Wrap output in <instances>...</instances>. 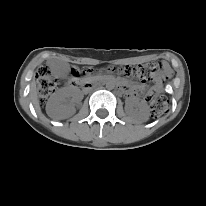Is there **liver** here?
<instances>
[{"mask_svg": "<svg viewBox=\"0 0 206 206\" xmlns=\"http://www.w3.org/2000/svg\"><path fill=\"white\" fill-rule=\"evenodd\" d=\"M30 99L33 103V106L35 108V110L37 112H40L41 109H40V105H39V100H38V96H37V89H36V85L35 83L33 82L32 85H31V89H30ZM48 115L55 119V120H63V119H66L68 118L70 115L65 113V112H55V113H51L49 111H47Z\"/></svg>", "mask_w": 206, "mask_h": 206, "instance_id": "liver-1", "label": "liver"}]
</instances>
